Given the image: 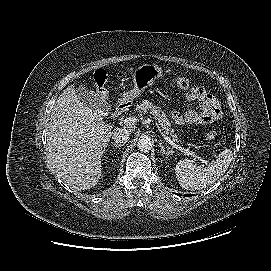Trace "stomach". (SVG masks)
<instances>
[{"label":"stomach","mask_w":271,"mask_h":271,"mask_svg":"<svg viewBox=\"0 0 271 271\" xmlns=\"http://www.w3.org/2000/svg\"><path fill=\"white\" fill-rule=\"evenodd\" d=\"M162 77L163 70L156 64H143L139 66L132 74V87L122 94L121 102L124 104L132 103L145 89Z\"/></svg>","instance_id":"0dacf381"}]
</instances>
